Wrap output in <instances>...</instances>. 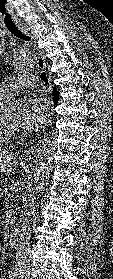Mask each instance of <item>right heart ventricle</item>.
<instances>
[{
  "label": "right heart ventricle",
  "mask_w": 113,
  "mask_h": 279,
  "mask_svg": "<svg viewBox=\"0 0 113 279\" xmlns=\"http://www.w3.org/2000/svg\"><path fill=\"white\" fill-rule=\"evenodd\" d=\"M9 97L2 92H0V115L2 111L6 108ZM10 136L4 134L0 128V147L4 146L9 142Z\"/></svg>",
  "instance_id": "e07e8e85"
}]
</instances>
